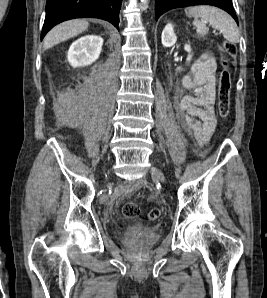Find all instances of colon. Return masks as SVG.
I'll return each instance as SVG.
<instances>
[{"mask_svg":"<svg viewBox=\"0 0 267 298\" xmlns=\"http://www.w3.org/2000/svg\"><path fill=\"white\" fill-rule=\"evenodd\" d=\"M219 51L222 59V70L219 77L218 84V109L220 116L226 119L230 111V96H231V69L230 66L234 64L237 47L230 42H222L219 45ZM140 213V208L135 202H127L122 207V214L129 219L136 218ZM161 212L159 209L154 208L148 213L150 220L159 218Z\"/></svg>","mask_w":267,"mask_h":298,"instance_id":"1","label":"colon"}]
</instances>
